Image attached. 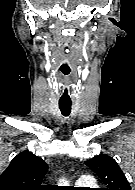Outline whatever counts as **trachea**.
Returning <instances> with one entry per match:
<instances>
[{
    "instance_id": "obj_1",
    "label": "trachea",
    "mask_w": 135,
    "mask_h": 190,
    "mask_svg": "<svg viewBox=\"0 0 135 190\" xmlns=\"http://www.w3.org/2000/svg\"><path fill=\"white\" fill-rule=\"evenodd\" d=\"M59 108L64 116H68L71 112V103H59Z\"/></svg>"
}]
</instances>
